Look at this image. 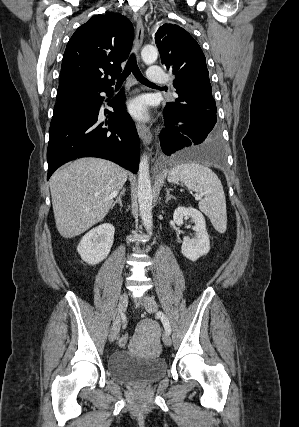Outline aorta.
<instances>
[{
	"label": "aorta",
	"instance_id": "aorta-1",
	"mask_svg": "<svg viewBox=\"0 0 299 427\" xmlns=\"http://www.w3.org/2000/svg\"><path fill=\"white\" fill-rule=\"evenodd\" d=\"M141 57L145 64H153L158 58V50L154 46L147 45L142 49ZM137 196L143 225L147 232L151 234L153 229V191L150 181L148 157L145 154L141 157L139 163Z\"/></svg>",
	"mask_w": 299,
	"mask_h": 427
}]
</instances>
